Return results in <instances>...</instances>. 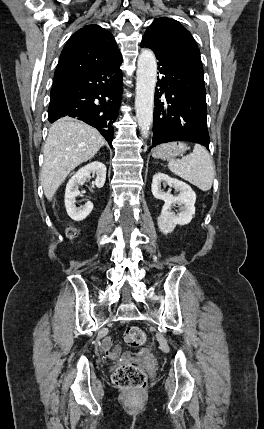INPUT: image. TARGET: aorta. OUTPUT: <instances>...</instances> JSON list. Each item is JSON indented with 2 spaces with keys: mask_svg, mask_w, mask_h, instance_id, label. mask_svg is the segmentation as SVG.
Instances as JSON below:
<instances>
[{
  "mask_svg": "<svg viewBox=\"0 0 264 429\" xmlns=\"http://www.w3.org/2000/svg\"><path fill=\"white\" fill-rule=\"evenodd\" d=\"M136 118L144 137L149 134L153 121L154 92L157 76V64L154 53L143 49L138 57L136 72Z\"/></svg>",
  "mask_w": 264,
  "mask_h": 429,
  "instance_id": "obj_1",
  "label": "aorta"
}]
</instances>
